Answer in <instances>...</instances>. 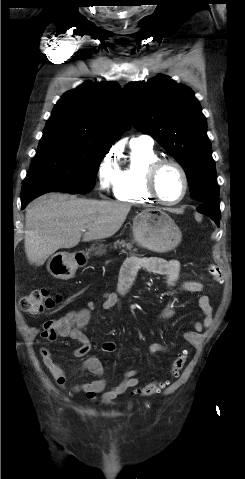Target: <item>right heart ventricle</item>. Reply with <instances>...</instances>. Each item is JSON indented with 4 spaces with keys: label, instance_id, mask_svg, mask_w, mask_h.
Instances as JSON below:
<instances>
[{
    "label": "right heart ventricle",
    "instance_id": "right-heart-ventricle-1",
    "mask_svg": "<svg viewBox=\"0 0 245 479\" xmlns=\"http://www.w3.org/2000/svg\"><path fill=\"white\" fill-rule=\"evenodd\" d=\"M158 158L152 146L131 142L128 161L118 170L116 177V199L128 203H153L155 199L146 189V174L149 166Z\"/></svg>",
    "mask_w": 245,
    "mask_h": 479
}]
</instances>
